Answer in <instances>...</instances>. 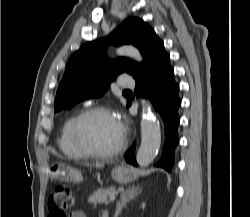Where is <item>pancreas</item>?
<instances>
[{
	"label": "pancreas",
	"instance_id": "cf45deb5",
	"mask_svg": "<svg viewBox=\"0 0 250 217\" xmlns=\"http://www.w3.org/2000/svg\"><path fill=\"white\" fill-rule=\"evenodd\" d=\"M113 194H117L116 187H110L107 189L101 188L89 196L88 202L94 205L108 204L109 203L108 197H110Z\"/></svg>",
	"mask_w": 250,
	"mask_h": 217
}]
</instances>
